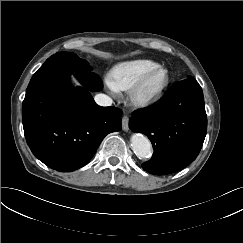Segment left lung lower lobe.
<instances>
[{"label":"left lung lower lobe","instance_id":"obj_1","mask_svg":"<svg viewBox=\"0 0 243 243\" xmlns=\"http://www.w3.org/2000/svg\"><path fill=\"white\" fill-rule=\"evenodd\" d=\"M129 127L144 133L153 145V157L142 164L144 170L165 175L183 169L196 159L206 136L200 85L193 78L174 84L158 102L136 111Z\"/></svg>","mask_w":243,"mask_h":243}]
</instances>
